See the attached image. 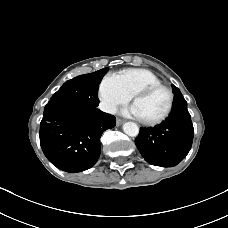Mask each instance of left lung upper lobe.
I'll return each mask as SVG.
<instances>
[{"mask_svg":"<svg viewBox=\"0 0 228 228\" xmlns=\"http://www.w3.org/2000/svg\"><path fill=\"white\" fill-rule=\"evenodd\" d=\"M178 92H180V90L174 86V93H178Z\"/></svg>","mask_w":228,"mask_h":228,"instance_id":"1","label":"left lung upper lobe"}]
</instances>
